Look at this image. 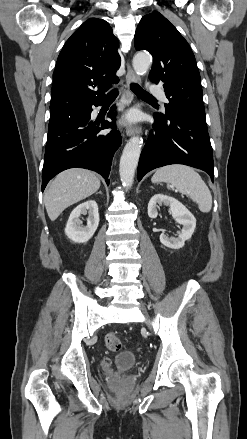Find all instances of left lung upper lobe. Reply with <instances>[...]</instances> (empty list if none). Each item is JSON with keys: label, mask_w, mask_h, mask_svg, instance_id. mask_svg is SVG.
Listing matches in <instances>:
<instances>
[{"label": "left lung upper lobe", "mask_w": 247, "mask_h": 439, "mask_svg": "<svg viewBox=\"0 0 247 439\" xmlns=\"http://www.w3.org/2000/svg\"><path fill=\"white\" fill-rule=\"evenodd\" d=\"M136 50L153 57L149 79L163 84L166 97L163 118L176 115L206 122L200 74L194 54L177 29L159 12L145 15L135 33Z\"/></svg>", "instance_id": "left-lung-upper-lobe-1"}]
</instances>
